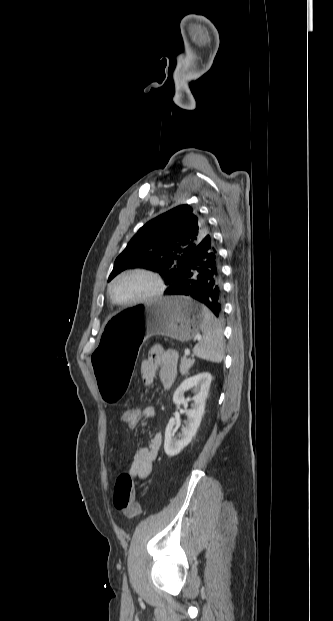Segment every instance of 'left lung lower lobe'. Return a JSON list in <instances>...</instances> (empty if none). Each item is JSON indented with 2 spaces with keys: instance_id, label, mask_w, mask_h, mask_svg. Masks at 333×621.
<instances>
[{
  "instance_id": "0a47b994",
  "label": "left lung lower lobe",
  "mask_w": 333,
  "mask_h": 621,
  "mask_svg": "<svg viewBox=\"0 0 333 621\" xmlns=\"http://www.w3.org/2000/svg\"><path fill=\"white\" fill-rule=\"evenodd\" d=\"M167 295L189 296L207 306L217 317L222 315V272L215 243L206 235L187 260L180 278Z\"/></svg>"
}]
</instances>
